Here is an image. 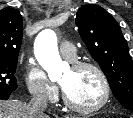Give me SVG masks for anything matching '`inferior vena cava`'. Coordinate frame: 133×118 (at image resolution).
Returning a JSON list of instances; mask_svg holds the SVG:
<instances>
[{"label": "inferior vena cava", "instance_id": "obj_1", "mask_svg": "<svg viewBox=\"0 0 133 118\" xmlns=\"http://www.w3.org/2000/svg\"><path fill=\"white\" fill-rule=\"evenodd\" d=\"M30 118H45V109L47 108V97L45 94H40L33 98L29 105Z\"/></svg>", "mask_w": 133, "mask_h": 118}]
</instances>
